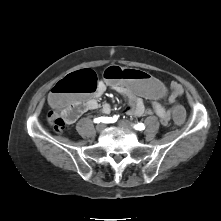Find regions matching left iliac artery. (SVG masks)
<instances>
[{
    "label": "left iliac artery",
    "mask_w": 221,
    "mask_h": 221,
    "mask_svg": "<svg viewBox=\"0 0 221 221\" xmlns=\"http://www.w3.org/2000/svg\"><path fill=\"white\" fill-rule=\"evenodd\" d=\"M134 128L138 131H142L145 129V126L143 123H137V124H134Z\"/></svg>",
    "instance_id": "obj_1"
}]
</instances>
